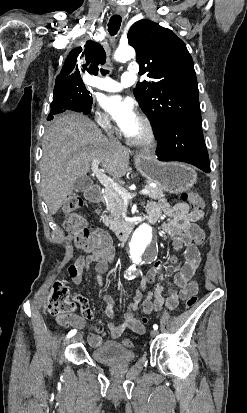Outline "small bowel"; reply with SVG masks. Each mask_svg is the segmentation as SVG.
<instances>
[{
    "instance_id": "obj_1",
    "label": "small bowel",
    "mask_w": 247,
    "mask_h": 413,
    "mask_svg": "<svg viewBox=\"0 0 247 413\" xmlns=\"http://www.w3.org/2000/svg\"><path fill=\"white\" fill-rule=\"evenodd\" d=\"M148 222L154 223L160 219L162 214L170 217V220L164 224V230L170 234L177 244L184 246V259L179 263H166L157 261L151 269L142 278L138 285L133 302L128 305L127 311L123 315V322L115 324L110 322L108 329L113 339H117L123 335L126 330H131L135 333L142 334L145 332V325L148 322V316L153 312L161 309L163 305L168 310L175 309L180 299H195L197 296L198 282L192 281L201 261L198 247L204 241V232L202 229L194 225V222L203 217L202 210H190V206L186 202H180L171 206L164 198L155 202H150L147 205ZM108 259L96 252L82 254L69 266V276L73 285H79L84 278L94 270L97 273L98 284L102 285L101 277L108 271ZM170 272H175V277L172 281H167L166 276ZM164 280L169 288V294L164 304L162 299V291L164 285L161 282ZM191 282V284H189ZM152 287L153 291H148ZM181 288V292L178 289ZM185 291V292H184ZM146 293V298L143 299V294ZM78 299L82 315L62 314L56 316V322L60 326H73L83 328L86 321L93 317L88 300L79 294L74 295ZM152 298H155L152 300ZM103 301L106 307L103 309V315L108 318L114 317L116 301L110 295H104ZM141 304L144 315L137 319L133 312L138 309ZM97 333L88 336V342L92 347L99 348L105 344L102 334V329L97 328ZM109 347L113 346L112 342L108 343Z\"/></svg>"
}]
</instances>
